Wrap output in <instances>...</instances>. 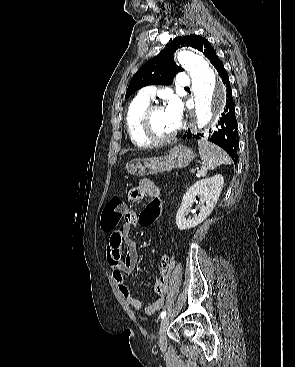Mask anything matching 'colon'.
Wrapping results in <instances>:
<instances>
[{
    "label": "colon",
    "instance_id": "colon-1",
    "mask_svg": "<svg viewBox=\"0 0 295 367\" xmlns=\"http://www.w3.org/2000/svg\"><path fill=\"white\" fill-rule=\"evenodd\" d=\"M149 203H147L145 210L141 213L140 223L143 226H149L157 220L159 212H163L166 208L162 195L149 196ZM128 212L123 200L119 197H113L106 204L102 216L101 227L104 231H112L116 228L121 218Z\"/></svg>",
    "mask_w": 295,
    "mask_h": 367
}]
</instances>
